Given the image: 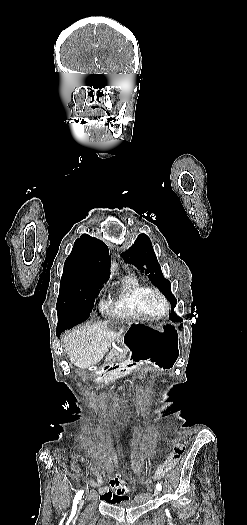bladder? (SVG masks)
<instances>
[{"label":"bladder","instance_id":"bladder-1","mask_svg":"<svg viewBox=\"0 0 247 525\" xmlns=\"http://www.w3.org/2000/svg\"><path fill=\"white\" fill-rule=\"evenodd\" d=\"M144 495H139L138 497H134L131 500L128 501H120L117 503H114L115 507L128 509L130 507H139L141 504L144 503V501H141Z\"/></svg>","mask_w":247,"mask_h":525}]
</instances>
